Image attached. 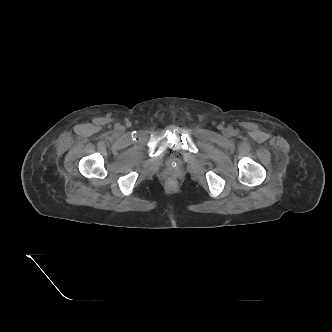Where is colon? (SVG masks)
Returning <instances> with one entry per match:
<instances>
[{"label":"colon","instance_id":"1","mask_svg":"<svg viewBox=\"0 0 332 332\" xmlns=\"http://www.w3.org/2000/svg\"><path fill=\"white\" fill-rule=\"evenodd\" d=\"M166 186L168 188H175L177 186V180L174 177H168L166 179Z\"/></svg>","mask_w":332,"mask_h":332}]
</instances>
